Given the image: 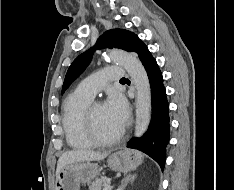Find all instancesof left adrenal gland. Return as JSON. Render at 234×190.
I'll list each match as a JSON object with an SVG mask.
<instances>
[{
  "instance_id": "1",
  "label": "left adrenal gland",
  "mask_w": 234,
  "mask_h": 190,
  "mask_svg": "<svg viewBox=\"0 0 234 190\" xmlns=\"http://www.w3.org/2000/svg\"><path fill=\"white\" fill-rule=\"evenodd\" d=\"M136 178V174H129L127 175L121 182V185L117 190H124V188L128 185L129 182H132Z\"/></svg>"
}]
</instances>
